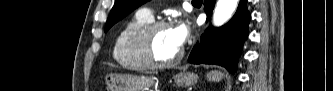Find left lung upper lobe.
<instances>
[{
    "label": "left lung upper lobe",
    "instance_id": "obj_1",
    "mask_svg": "<svg viewBox=\"0 0 333 91\" xmlns=\"http://www.w3.org/2000/svg\"><path fill=\"white\" fill-rule=\"evenodd\" d=\"M146 1L147 0H116L107 19L105 32H107L115 23L127 16L135 8L142 5Z\"/></svg>",
    "mask_w": 333,
    "mask_h": 91
}]
</instances>
